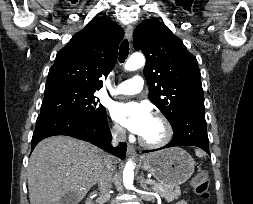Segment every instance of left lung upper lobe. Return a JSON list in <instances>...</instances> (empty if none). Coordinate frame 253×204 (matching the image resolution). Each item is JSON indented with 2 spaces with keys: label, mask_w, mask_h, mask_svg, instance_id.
<instances>
[{
  "label": "left lung upper lobe",
  "mask_w": 253,
  "mask_h": 204,
  "mask_svg": "<svg viewBox=\"0 0 253 204\" xmlns=\"http://www.w3.org/2000/svg\"><path fill=\"white\" fill-rule=\"evenodd\" d=\"M134 48L146 56L149 99L171 125L191 109H205L197 59L163 23L151 19L138 25Z\"/></svg>",
  "instance_id": "5c2ea615"
}]
</instances>
